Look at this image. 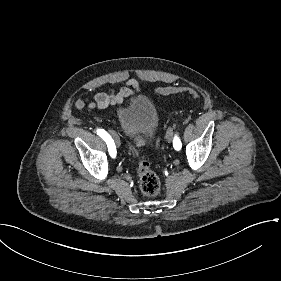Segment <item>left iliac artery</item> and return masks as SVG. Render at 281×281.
<instances>
[{
	"label": "left iliac artery",
	"mask_w": 281,
	"mask_h": 281,
	"mask_svg": "<svg viewBox=\"0 0 281 281\" xmlns=\"http://www.w3.org/2000/svg\"><path fill=\"white\" fill-rule=\"evenodd\" d=\"M173 146L176 150H180L182 147L180 139L175 135L174 140H173Z\"/></svg>",
	"instance_id": "obj_1"
}]
</instances>
